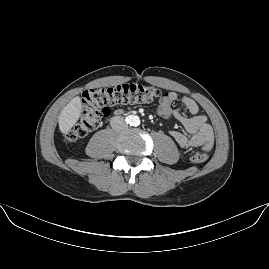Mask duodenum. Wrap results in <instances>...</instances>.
<instances>
[{
  "instance_id": "obj_1",
  "label": "duodenum",
  "mask_w": 269,
  "mask_h": 269,
  "mask_svg": "<svg viewBox=\"0 0 269 269\" xmlns=\"http://www.w3.org/2000/svg\"><path fill=\"white\" fill-rule=\"evenodd\" d=\"M121 112L120 111H116V115H119Z\"/></svg>"
}]
</instances>
